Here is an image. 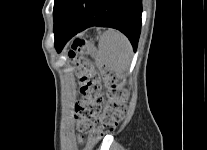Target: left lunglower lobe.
I'll list each match as a JSON object with an SVG mask.
<instances>
[{"instance_id":"0a47b994","label":"left lung lower lobe","mask_w":207,"mask_h":150,"mask_svg":"<svg viewBox=\"0 0 207 150\" xmlns=\"http://www.w3.org/2000/svg\"><path fill=\"white\" fill-rule=\"evenodd\" d=\"M141 0H66L54 23L60 52L74 35L91 26L120 30L136 51L141 30Z\"/></svg>"}]
</instances>
